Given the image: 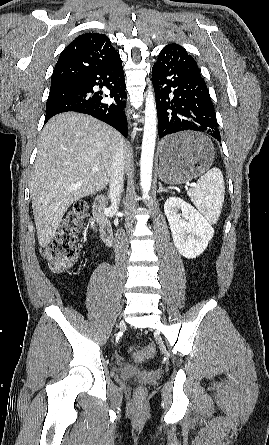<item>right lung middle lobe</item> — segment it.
I'll use <instances>...</instances> for the list:
<instances>
[{"mask_svg": "<svg viewBox=\"0 0 269 445\" xmlns=\"http://www.w3.org/2000/svg\"><path fill=\"white\" fill-rule=\"evenodd\" d=\"M74 90V85H65L51 88L46 103V110L52 107L57 102L68 99L73 94Z\"/></svg>", "mask_w": 269, "mask_h": 445, "instance_id": "dd1d6c3e", "label": "right lung middle lobe"}]
</instances>
